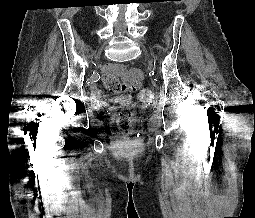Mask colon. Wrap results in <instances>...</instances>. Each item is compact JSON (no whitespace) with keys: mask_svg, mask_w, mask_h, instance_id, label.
Wrapping results in <instances>:
<instances>
[{"mask_svg":"<svg viewBox=\"0 0 255 218\" xmlns=\"http://www.w3.org/2000/svg\"><path fill=\"white\" fill-rule=\"evenodd\" d=\"M104 81L108 89L113 93H120L123 91H135L139 89V81H132L129 83L120 82L115 78H104ZM155 92L151 88L143 89L141 92V99L145 103H150L154 100ZM136 111L134 106L126 105L123 106L119 111L120 128L123 132H128L131 129L133 119L135 117Z\"/></svg>","mask_w":255,"mask_h":218,"instance_id":"1","label":"colon"}]
</instances>
